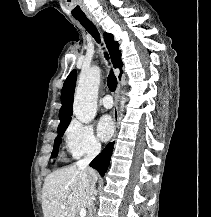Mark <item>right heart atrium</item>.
<instances>
[{"label": "right heart atrium", "instance_id": "right-heart-atrium-1", "mask_svg": "<svg viewBox=\"0 0 211 217\" xmlns=\"http://www.w3.org/2000/svg\"><path fill=\"white\" fill-rule=\"evenodd\" d=\"M65 147L73 158L94 156L101 150V144L91 125L73 120L65 132Z\"/></svg>", "mask_w": 211, "mask_h": 217}]
</instances>
